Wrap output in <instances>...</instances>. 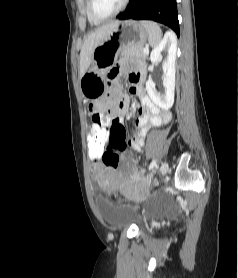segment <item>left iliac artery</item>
Returning a JSON list of instances; mask_svg holds the SVG:
<instances>
[{"instance_id": "obj_1", "label": "left iliac artery", "mask_w": 238, "mask_h": 278, "mask_svg": "<svg viewBox=\"0 0 238 278\" xmlns=\"http://www.w3.org/2000/svg\"><path fill=\"white\" fill-rule=\"evenodd\" d=\"M156 166V160L154 159L149 165V170L153 169Z\"/></svg>"}]
</instances>
